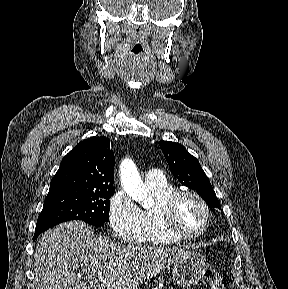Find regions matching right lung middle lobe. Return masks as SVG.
I'll return each instance as SVG.
<instances>
[{
    "mask_svg": "<svg viewBox=\"0 0 288 289\" xmlns=\"http://www.w3.org/2000/svg\"><path fill=\"white\" fill-rule=\"evenodd\" d=\"M115 189L85 191L59 189L49 191L38 217L36 231L43 232L68 220H82L93 226H103L109 220V198Z\"/></svg>",
    "mask_w": 288,
    "mask_h": 289,
    "instance_id": "obj_1",
    "label": "right lung middle lobe"
}]
</instances>
